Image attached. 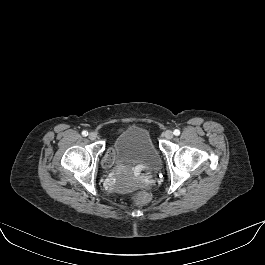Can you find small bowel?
<instances>
[{
    "label": "small bowel",
    "instance_id": "obj_1",
    "mask_svg": "<svg viewBox=\"0 0 265 265\" xmlns=\"http://www.w3.org/2000/svg\"><path fill=\"white\" fill-rule=\"evenodd\" d=\"M109 159H110V155H108L105 159V164H108L109 163Z\"/></svg>",
    "mask_w": 265,
    "mask_h": 265
}]
</instances>
